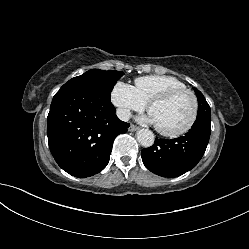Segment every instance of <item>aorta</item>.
I'll return each instance as SVG.
<instances>
[{"instance_id": "1", "label": "aorta", "mask_w": 249, "mask_h": 249, "mask_svg": "<svg viewBox=\"0 0 249 249\" xmlns=\"http://www.w3.org/2000/svg\"><path fill=\"white\" fill-rule=\"evenodd\" d=\"M137 141L143 146V147H150L153 145L155 137L154 134L148 130V129H140L136 133Z\"/></svg>"}]
</instances>
